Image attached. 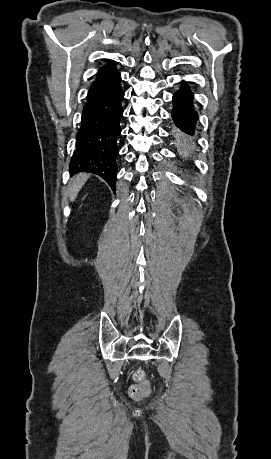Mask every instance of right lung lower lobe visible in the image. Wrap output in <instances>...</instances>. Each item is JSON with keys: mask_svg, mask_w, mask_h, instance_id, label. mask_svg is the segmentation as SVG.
I'll return each instance as SVG.
<instances>
[{"mask_svg": "<svg viewBox=\"0 0 271 459\" xmlns=\"http://www.w3.org/2000/svg\"><path fill=\"white\" fill-rule=\"evenodd\" d=\"M117 70L97 76L83 108L70 173L88 172L101 176L115 191L119 147L117 138L123 114L124 92Z\"/></svg>", "mask_w": 271, "mask_h": 459, "instance_id": "1", "label": "right lung lower lobe"}]
</instances>
